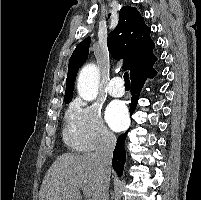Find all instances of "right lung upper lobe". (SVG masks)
Wrapping results in <instances>:
<instances>
[{"label": "right lung upper lobe", "instance_id": "right-lung-upper-lobe-1", "mask_svg": "<svg viewBox=\"0 0 201 200\" xmlns=\"http://www.w3.org/2000/svg\"><path fill=\"white\" fill-rule=\"evenodd\" d=\"M150 32L151 29L146 26L144 18L136 8H121L119 23L109 33L107 44L115 59L124 58L123 68L130 71V78L156 61L152 52L155 44L150 38ZM90 41V37L84 39L70 57L64 100H72L77 72L88 58Z\"/></svg>", "mask_w": 201, "mask_h": 200}]
</instances>
